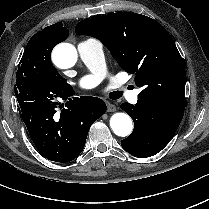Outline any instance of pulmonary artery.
Wrapping results in <instances>:
<instances>
[{"label": "pulmonary artery", "mask_w": 209, "mask_h": 209, "mask_svg": "<svg viewBox=\"0 0 209 209\" xmlns=\"http://www.w3.org/2000/svg\"><path fill=\"white\" fill-rule=\"evenodd\" d=\"M79 58L89 69L90 74L83 77L80 81L82 88H93L97 86L105 76V62L103 55V45L97 39H86L77 45ZM122 96L131 103L139 101V89L127 90L122 87Z\"/></svg>", "instance_id": "obj_1"}]
</instances>
